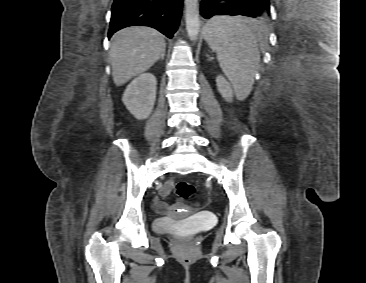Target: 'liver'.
Wrapping results in <instances>:
<instances>
[{"mask_svg": "<svg viewBox=\"0 0 366 283\" xmlns=\"http://www.w3.org/2000/svg\"><path fill=\"white\" fill-rule=\"evenodd\" d=\"M163 35L147 26H131L117 31L112 38L110 60L115 85L122 86L148 70L165 52Z\"/></svg>", "mask_w": 366, "mask_h": 283, "instance_id": "liver-1", "label": "liver"}]
</instances>
